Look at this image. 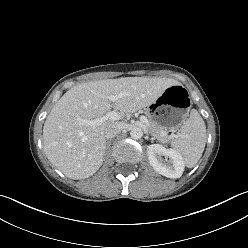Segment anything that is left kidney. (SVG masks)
<instances>
[{"mask_svg":"<svg viewBox=\"0 0 248 248\" xmlns=\"http://www.w3.org/2000/svg\"><path fill=\"white\" fill-rule=\"evenodd\" d=\"M147 155L150 165L159 174L173 179L180 178L183 174L184 161L177 151L152 144L147 147Z\"/></svg>","mask_w":248,"mask_h":248,"instance_id":"5707ae66","label":"left kidney"}]
</instances>
